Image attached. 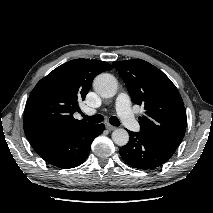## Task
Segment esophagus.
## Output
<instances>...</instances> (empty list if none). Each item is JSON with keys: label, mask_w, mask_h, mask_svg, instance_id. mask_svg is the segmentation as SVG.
<instances>
[{"label": "esophagus", "mask_w": 213, "mask_h": 213, "mask_svg": "<svg viewBox=\"0 0 213 213\" xmlns=\"http://www.w3.org/2000/svg\"><path fill=\"white\" fill-rule=\"evenodd\" d=\"M106 128L109 130V131H112V130H115L116 127L115 126H112L111 124H106Z\"/></svg>", "instance_id": "34e87169"}]
</instances>
